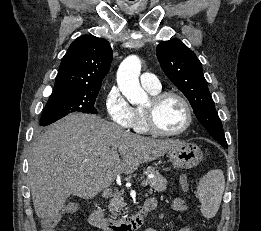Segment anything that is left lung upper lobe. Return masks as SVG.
<instances>
[{"label":"left lung upper lobe","instance_id":"left-lung-upper-lobe-1","mask_svg":"<svg viewBox=\"0 0 261 231\" xmlns=\"http://www.w3.org/2000/svg\"><path fill=\"white\" fill-rule=\"evenodd\" d=\"M157 57L167 77L189 100L204 128L219 143H227L202 64L195 53L181 40L171 39L157 46Z\"/></svg>","mask_w":261,"mask_h":231}]
</instances>
